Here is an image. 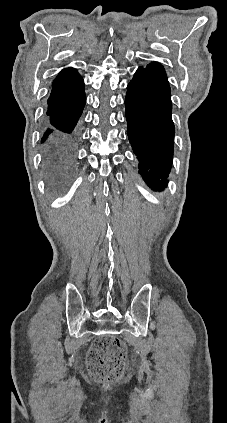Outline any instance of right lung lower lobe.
Masks as SVG:
<instances>
[{
    "instance_id": "obj_1",
    "label": "right lung lower lobe",
    "mask_w": 227,
    "mask_h": 423,
    "mask_svg": "<svg viewBox=\"0 0 227 423\" xmlns=\"http://www.w3.org/2000/svg\"><path fill=\"white\" fill-rule=\"evenodd\" d=\"M86 97L80 93L65 94L53 91L48 99L49 123L41 142L43 146V171L53 187L66 184L73 173L79 130L75 128Z\"/></svg>"
}]
</instances>
